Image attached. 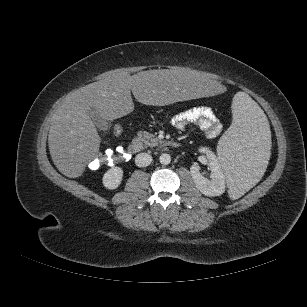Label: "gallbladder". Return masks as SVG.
Wrapping results in <instances>:
<instances>
[{
    "mask_svg": "<svg viewBox=\"0 0 307 307\" xmlns=\"http://www.w3.org/2000/svg\"><path fill=\"white\" fill-rule=\"evenodd\" d=\"M89 116L92 118L94 124L102 131H107L109 129V123L104 119L96 110H90L88 112Z\"/></svg>",
    "mask_w": 307,
    "mask_h": 307,
    "instance_id": "gallbladder-1",
    "label": "gallbladder"
}]
</instances>
